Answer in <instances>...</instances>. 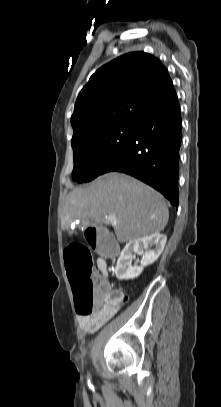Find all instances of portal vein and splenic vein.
I'll return each instance as SVG.
<instances>
[{
  "label": "portal vein and splenic vein",
  "instance_id": "portal-vein-and-splenic-vein-1",
  "mask_svg": "<svg viewBox=\"0 0 221 407\" xmlns=\"http://www.w3.org/2000/svg\"><path fill=\"white\" fill-rule=\"evenodd\" d=\"M106 218L113 221V222H116V218H115L114 215H107Z\"/></svg>",
  "mask_w": 221,
  "mask_h": 407
}]
</instances>
